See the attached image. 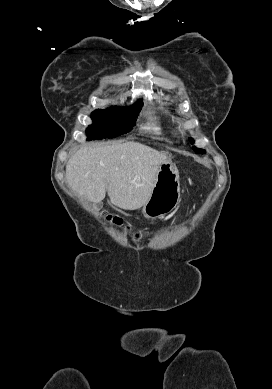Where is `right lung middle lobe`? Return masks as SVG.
Segmentation results:
<instances>
[{"label":"right lung middle lobe","instance_id":"1","mask_svg":"<svg viewBox=\"0 0 272 389\" xmlns=\"http://www.w3.org/2000/svg\"><path fill=\"white\" fill-rule=\"evenodd\" d=\"M141 106L138 102L124 109L95 110L91 115L93 124L86 129L88 140L113 138L130 131Z\"/></svg>","mask_w":272,"mask_h":389}]
</instances>
